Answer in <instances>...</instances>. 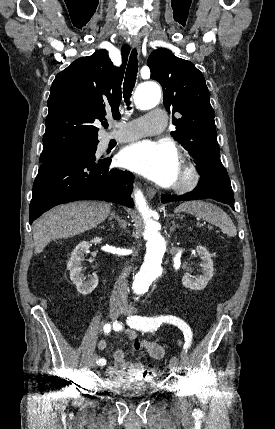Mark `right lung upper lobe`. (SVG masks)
Listing matches in <instances>:
<instances>
[{
  "mask_svg": "<svg viewBox=\"0 0 275 429\" xmlns=\"http://www.w3.org/2000/svg\"><path fill=\"white\" fill-rule=\"evenodd\" d=\"M129 51L128 45L122 47L121 67H115L108 52L101 49L57 74L50 88L40 158L98 143V128L93 123L104 120L108 113L120 117L121 83Z\"/></svg>",
  "mask_w": 275,
  "mask_h": 429,
  "instance_id": "1",
  "label": "right lung upper lobe"
}]
</instances>
